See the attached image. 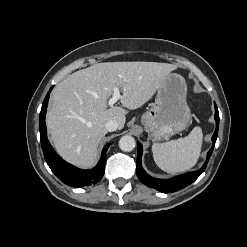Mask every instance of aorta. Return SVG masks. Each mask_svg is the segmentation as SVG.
<instances>
[{"label": "aorta", "instance_id": "762f6f07", "mask_svg": "<svg viewBox=\"0 0 247 247\" xmlns=\"http://www.w3.org/2000/svg\"><path fill=\"white\" fill-rule=\"evenodd\" d=\"M136 146L135 139L130 135L122 136L119 140V147L124 152L132 151Z\"/></svg>", "mask_w": 247, "mask_h": 247}]
</instances>
